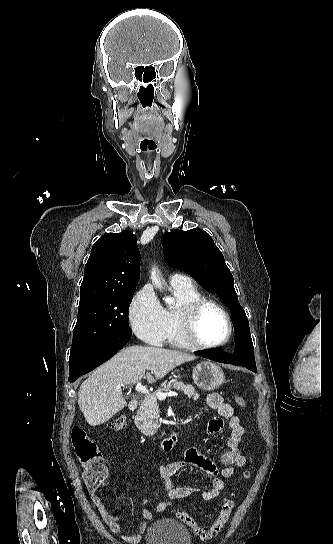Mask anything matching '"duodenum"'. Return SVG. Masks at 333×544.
<instances>
[{
    "label": "duodenum",
    "mask_w": 333,
    "mask_h": 544,
    "mask_svg": "<svg viewBox=\"0 0 333 544\" xmlns=\"http://www.w3.org/2000/svg\"><path fill=\"white\" fill-rule=\"evenodd\" d=\"M139 404L138 399H133L129 403V409L135 410ZM179 441V435L177 431L172 432L168 437L161 440L159 446L163 451L172 450Z\"/></svg>",
    "instance_id": "obj_1"
}]
</instances>
